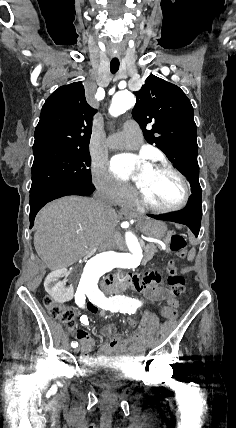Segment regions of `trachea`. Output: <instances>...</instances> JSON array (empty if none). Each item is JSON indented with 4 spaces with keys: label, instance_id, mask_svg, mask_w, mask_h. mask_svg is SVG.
Returning a JSON list of instances; mask_svg holds the SVG:
<instances>
[{
    "label": "trachea",
    "instance_id": "3493384b",
    "mask_svg": "<svg viewBox=\"0 0 236 428\" xmlns=\"http://www.w3.org/2000/svg\"><path fill=\"white\" fill-rule=\"evenodd\" d=\"M110 71L111 73H116L119 70V56L117 52H112L110 56Z\"/></svg>",
    "mask_w": 236,
    "mask_h": 428
}]
</instances>
